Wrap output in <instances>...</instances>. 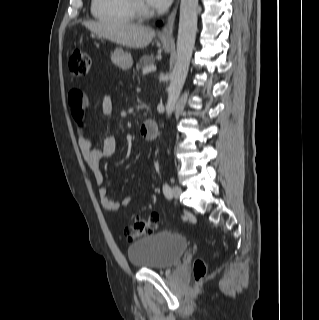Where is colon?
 <instances>
[{
  "label": "colon",
  "mask_w": 319,
  "mask_h": 320,
  "mask_svg": "<svg viewBox=\"0 0 319 320\" xmlns=\"http://www.w3.org/2000/svg\"><path fill=\"white\" fill-rule=\"evenodd\" d=\"M92 65V55L89 52L72 49L68 58V66L75 76H85L88 74ZM159 224V215L151 214L146 219L136 218L126 229L128 239L133 240L142 235L153 233L157 230ZM206 265L203 261L197 260L194 263L193 271L197 279L206 274Z\"/></svg>",
  "instance_id": "1"
}]
</instances>
